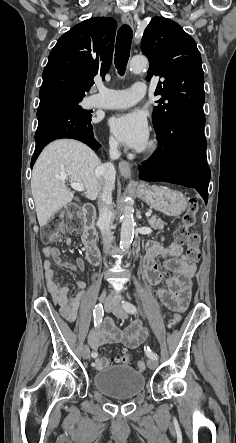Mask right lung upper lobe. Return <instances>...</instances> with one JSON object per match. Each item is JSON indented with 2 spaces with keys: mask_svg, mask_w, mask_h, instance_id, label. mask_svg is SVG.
I'll return each mask as SVG.
<instances>
[{
  "mask_svg": "<svg viewBox=\"0 0 236 443\" xmlns=\"http://www.w3.org/2000/svg\"><path fill=\"white\" fill-rule=\"evenodd\" d=\"M116 27L113 18L97 17L63 34L49 54L39 97L84 96L94 84L93 77L110 69Z\"/></svg>",
  "mask_w": 236,
  "mask_h": 443,
  "instance_id": "cb5924a9",
  "label": "right lung upper lobe"
}]
</instances>
